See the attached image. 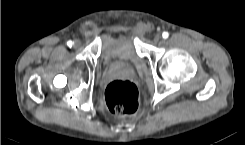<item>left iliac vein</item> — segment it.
Returning a JSON list of instances; mask_svg holds the SVG:
<instances>
[{
    "mask_svg": "<svg viewBox=\"0 0 245 145\" xmlns=\"http://www.w3.org/2000/svg\"><path fill=\"white\" fill-rule=\"evenodd\" d=\"M161 38H162V37H161L160 34H156V35L154 36V41H155V42H159Z\"/></svg>",
    "mask_w": 245,
    "mask_h": 145,
    "instance_id": "4c4485c4",
    "label": "left iliac vein"
}]
</instances>
